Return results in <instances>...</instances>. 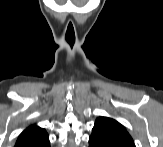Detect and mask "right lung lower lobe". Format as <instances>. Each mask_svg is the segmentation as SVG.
Here are the masks:
<instances>
[{"label":"right lung lower lobe","mask_w":163,"mask_h":147,"mask_svg":"<svg viewBox=\"0 0 163 147\" xmlns=\"http://www.w3.org/2000/svg\"><path fill=\"white\" fill-rule=\"evenodd\" d=\"M15 147H50L49 138L42 137H29L17 140Z\"/></svg>","instance_id":"obj_1"}]
</instances>
